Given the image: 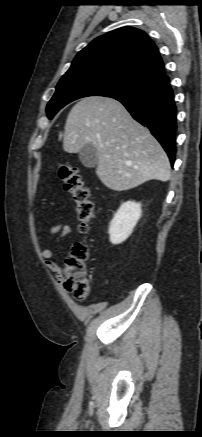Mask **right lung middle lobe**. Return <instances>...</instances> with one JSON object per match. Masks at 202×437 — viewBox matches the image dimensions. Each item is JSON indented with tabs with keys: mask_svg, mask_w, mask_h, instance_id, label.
Segmentation results:
<instances>
[{
	"mask_svg": "<svg viewBox=\"0 0 202 437\" xmlns=\"http://www.w3.org/2000/svg\"><path fill=\"white\" fill-rule=\"evenodd\" d=\"M150 82L130 77L126 74L101 71L78 70L66 73L56 87L46 112L49 119L68 103L87 96L117 97L134 95L150 86Z\"/></svg>",
	"mask_w": 202,
	"mask_h": 437,
	"instance_id": "obj_1",
	"label": "right lung middle lobe"
}]
</instances>
